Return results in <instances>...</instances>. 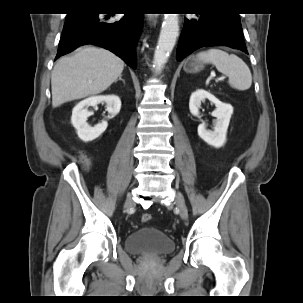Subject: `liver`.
<instances>
[{
	"label": "liver",
	"instance_id": "obj_1",
	"mask_svg": "<svg viewBox=\"0 0 303 303\" xmlns=\"http://www.w3.org/2000/svg\"><path fill=\"white\" fill-rule=\"evenodd\" d=\"M124 69V62L108 50L86 46L59 59L51 76L54 108L105 91Z\"/></svg>",
	"mask_w": 303,
	"mask_h": 303
}]
</instances>
